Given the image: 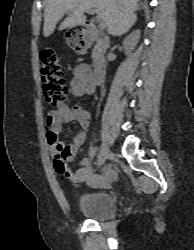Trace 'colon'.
<instances>
[{"label": "colon", "instance_id": "obj_1", "mask_svg": "<svg viewBox=\"0 0 194 250\" xmlns=\"http://www.w3.org/2000/svg\"><path fill=\"white\" fill-rule=\"evenodd\" d=\"M43 92L46 100L55 105L66 104L67 82L61 70L60 59L53 47L40 52Z\"/></svg>", "mask_w": 194, "mask_h": 250}]
</instances>
